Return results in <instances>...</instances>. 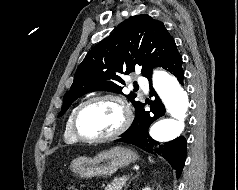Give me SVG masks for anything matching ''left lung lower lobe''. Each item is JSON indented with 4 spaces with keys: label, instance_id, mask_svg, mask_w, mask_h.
Listing matches in <instances>:
<instances>
[{
    "label": "left lung lower lobe",
    "instance_id": "0a47b994",
    "mask_svg": "<svg viewBox=\"0 0 238 190\" xmlns=\"http://www.w3.org/2000/svg\"><path fill=\"white\" fill-rule=\"evenodd\" d=\"M160 67L171 72L183 85L182 57L178 51H175ZM148 79L151 84V77ZM151 90H153L152 87ZM153 95L155 100L150 103V111L145 110L146 104L140 103L135 108V118L132 125L117 141L135 145L149 153L161 155L176 169L177 177H179L186 160V139L180 136L172 141L160 143L150 137L149 126L165 114V107L154 90Z\"/></svg>",
    "mask_w": 238,
    "mask_h": 190
}]
</instances>
